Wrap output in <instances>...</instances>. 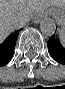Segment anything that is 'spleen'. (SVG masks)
<instances>
[{
    "label": "spleen",
    "instance_id": "obj_1",
    "mask_svg": "<svg viewBox=\"0 0 65 89\" xmlns=\"http://www.w3.org/2000/svg\"><path fill=\"white\" fill-rule=\"evenodd\" d=\"M59 38L62 42H65V35H64V31L61 30L60 34H59Z\"/></svg>",
    "mask_w": 65,
    "mask_h": 89
}]
</instances>
